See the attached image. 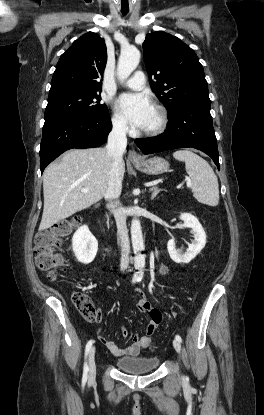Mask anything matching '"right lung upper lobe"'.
Returning <instances> with one entry per match:
<instances>
[{"instance_id": "obj_1", "label": "right lung upper lobe", "mask_w": 264, "mask_h": 415, "mask_svg": "<svg viewBox=\"0 0 264 415\" xmlns=\"http://www.w3.org/2000/svg\"><path fill=\"white\" fill-rule=\"evenodd\" d=\"M106 62L104 39L93 32L82 35L61 55L49 96L67 91L101 92Z\"/></svg>"}]
</instances>
